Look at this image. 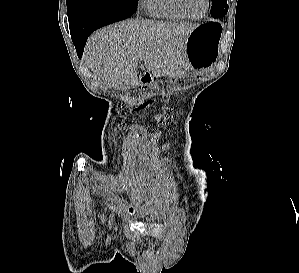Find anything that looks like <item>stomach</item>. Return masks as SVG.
Masks as SVG:
<instances>
[{
    "instance_id": "obj_1",
    "label": "stomach",
    "mask_w": 299,
    "mask_h": 273,
    "mask_svg": "<svg viewBox=\"0 0 299 273\" xmlns=\"http://www.w3.org/2000/svg\"><path fill=\"white\" fill-rule=\"evenodd\" d=\"M221 24L217 21L199 25L194 29L186 43L187 64L197 70L212 67L219 55Z\"/></svg>"
}]
</instances>
